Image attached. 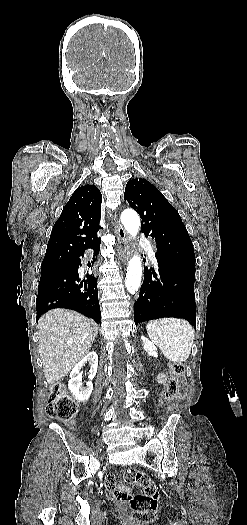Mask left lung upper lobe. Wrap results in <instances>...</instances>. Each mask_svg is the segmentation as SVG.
Returning <instances> with one entry per match:
<instances>
[{
	"label": "left lung upper lobe",
	"instance_id": "5c2ea615",
	"mask_svg": "<svg viewBox=\"0 0 247 525\" xmlns=\"http://www.w3.org/2000/svg\"><path fill=\"white\" fill-rule=\"evenodd\" d=\"M124 199L142 221L141 232L156 241L160 258L173 259L179 266L195 270L194 248L177 210L145 179L127 182Z\"/></svg>",
	"mask_w": 247,
	"mask_h": 525
}]
</instances>
